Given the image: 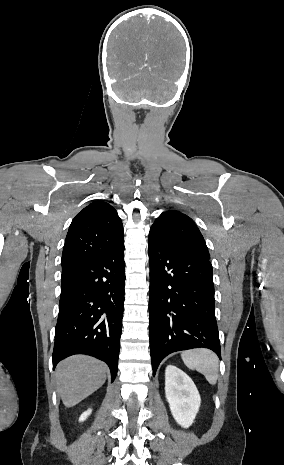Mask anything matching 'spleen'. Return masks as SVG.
Listing matches in <instances>:
<instances>
[{"instance_id":"obj_1","label":"spleen","mask_w":284,"mask_h":465,"mask_svg":"<svg viewBox=\"0 0 284 465\" xmlns=\"http://www.w3.org/2000/svg\"><path fill=\"white\" fill-rule=\"evenodd\" d=\"M181 359L188 369H196L202 373L210 385H216L218 379V357L209 349H194L183 351Z\"/></svg>"}]
</instances>
